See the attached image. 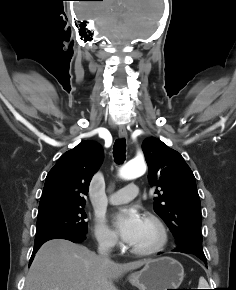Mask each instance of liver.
<instances>
[{
	"label": "liver",
	"instance_id": "liver-1",
	"mask_svg": "<svg viewBox=\"0 0 236 290\" xmlns=\"http://www.w3.org/2000/svg\"><path fill=\"white\" fill-rule=\"evenodd\" d=\"M148 261L120 264L85 246L54 239L44 243L36 253L24 290H118L114 280Z\"/></svg>",
	"mask_w": 236,
	"mask_h": 290
}]
</instances>
